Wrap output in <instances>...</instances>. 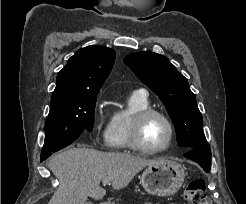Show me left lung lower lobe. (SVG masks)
<instances>
[{
	"label": "left lung lower lobe",
	"instance_id": "0a47b994",
	"mask_svg": "<svg viewBox=\"0 0 246 204\" xmlns=\"http://www.w3.org/2000/svg\"><path fill=\"white\" fill-rule=\"evenodd\" d=\"M185 157L197 162L206 172L210 171L211 151L208 144L202 147L192 148L190 152L185 154Z\"/></svg>",
	"mask_w": 246,
	"mask_h": 204
}]
</instances>
